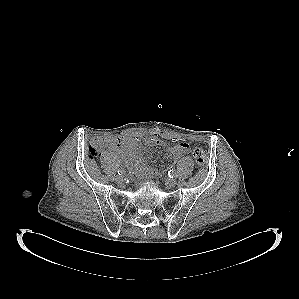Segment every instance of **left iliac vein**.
<instances>
[{"mask_svg":"<svg viewBox=\"0 0 299 299\" xmlns=\"http://www.w3.org/2000/svg\"><path fill=\"white\" fill-rule=\"evenodd\" d=\"M166 185L169 188L175 187L177 185V180L175 178H169L166 180Z\"/></svg>","mask_w":299,"mask_h":299,"instance_id":"obj_1","label":"left iliac vein"}]
</instances>
